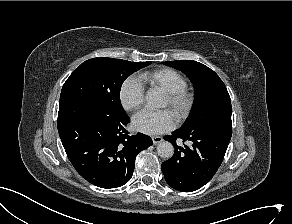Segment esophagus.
Instances as JSON below:
<instances>
[{"instance_id": "esophagus-1", "label": "esophagus", "mask_w": 292, "mask_h": 224, "mask_svg": "<svg viewBox=\"0 0 292 224\" xmlns=\"http://www.w3.org/2000/svg\"><path fill=\"white\" fill-rule=\"evenodd\" d=\"M152 141L156 145V144L162 142L163 138L161 136H152Z\"/></svg>"}]
</instances>
